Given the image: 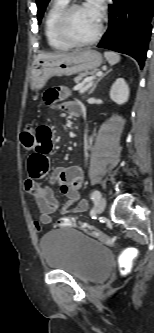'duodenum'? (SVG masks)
I'll return each mask as SVG.
<instances>
[{"label": "duodenum", "mask_w": 154, "mask_h": 333, "mask_svg": "<svg viewBox=\"0 0 154 333\" xmlns=\"http://www.w3.org/2000/svg\"><path fill=\"white\" fill-rule=\"evenodd\" d=\"M81 114V111H78L77 113H76V116H79Z\"/></svg>", "instance_id": "duodenum-1"}]
</instances>
